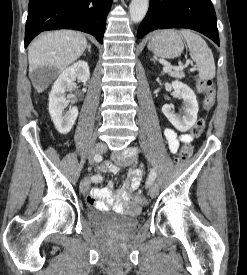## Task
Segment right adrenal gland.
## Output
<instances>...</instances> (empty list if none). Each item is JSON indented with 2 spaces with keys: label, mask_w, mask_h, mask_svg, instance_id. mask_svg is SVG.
<instances>
[{
  "label": "right adrenal gland",
  "mask_w": 247,
  "mask_h": 275,
  "mask_svg": "<svg viewBox=\"0 0 247 275\" xmlns=\"http://www.w3.org/2000/svg\"><path fill=\"white\" fill-rule=\"evenodd\" d=\"M87 48H88V52L91 53V45L90 44L88 45Z\"/></svg>",
  "instance_id": "right-adrenal-gland-1"
}]
</instances>
